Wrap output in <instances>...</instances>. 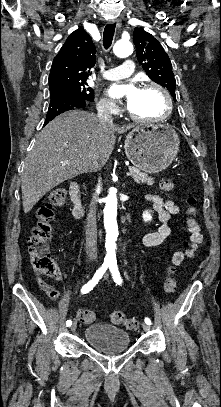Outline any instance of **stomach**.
<instances>
[{"label":"stomach","instance_id":"obj_1","mask_svg":"<svg viewBox=\"0 0 221 407\" xmlns=\"http://www.w3.org/2000/svg\"><path fill=\"white\" fill-rule=\"evenodd\" d=\"M179 144L176 131L169 125H138L126 136L124 148L136 168L155 174L171 165Z\"/></svg>","mask_w":221,"mask_h":407}]
</instances>
